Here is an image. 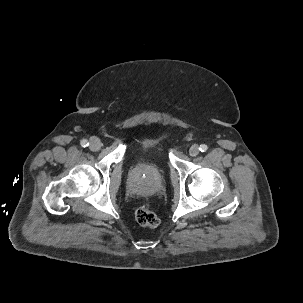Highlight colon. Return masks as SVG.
<instances>
[{"mask_svg":"<svg viewBox=\"0 0 303 303\" xmlns=\"http://www.w3.org/2000/svg\"><path fill=\"white\" fill-rule=\"evenodd\" d=\"M135 218L143 227L154 228L159 224V218L148 205L140 206L135 212Z\"/></svg>","mask_w":303,"mask_h":303,"instance_id":"colon-1","label":"colon"}]
</instances>
